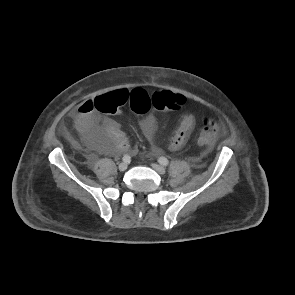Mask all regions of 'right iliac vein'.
Here are the masks:
<instances>
[{
    "instance_id": "obj_1",
    "label": "right iliac vein",
    "mask_w": 295,
    "mask_h": 295,
    "mask_svg": "<svg viewBox=\"0 0 295 295\" xmlns=\"http://www.w3.org/2000/svg\"><path fill=\"white\" fill-rule=\"evenodd\" d=\"M128 165L125 162H122L119 164L118 168L120 171H125L127 169Z\"/></svg>"
}]
</instances>
